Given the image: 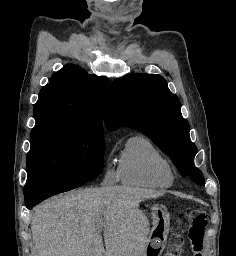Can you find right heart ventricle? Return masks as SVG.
Wrapping results in <instances>:
<instances>
[{
    "mask_svg": "<svg viewBox=\"0 0 236 256\" xmlns=\"http://www.w3.org/2000/svg\"><path fill=\"white\" fill-rule=\"evenodd\" d=\"M119 181L126 186L166 189L173 185L169 159L142 135L129 138L118 166Z\"/></svg>",
    "mask_w": 236,
    "mask_h": 256,
    "instance_id": "right-heart-ventricle-1",
    "label": "right heart ventricle"
}]
</instances>
